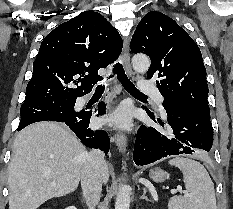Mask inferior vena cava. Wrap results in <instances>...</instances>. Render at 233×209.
I'll return each mask as SVG.
<instances>
[{
	"label": "inferior vena cava",
	"mask_w": 233,
	"mask_h": 209,
	"mask_svg": "<svg viewBox=\"0 0 233 209\" xmlns=\"http://www.w3.org/2000/svg\"><path fill=\"white\" fill-rule=\"evenodd\" d=\"M105 164L102 151L94 149L88 153L81 173V187L89 209H95L100 200Z\"/></svg>",
	"instance_id": "inferior-vena-cava-1"
}]
</instances>
